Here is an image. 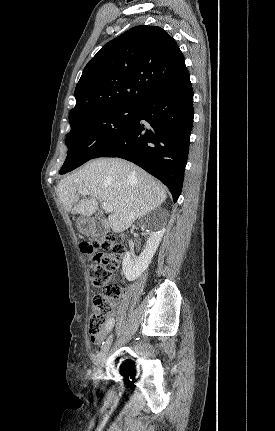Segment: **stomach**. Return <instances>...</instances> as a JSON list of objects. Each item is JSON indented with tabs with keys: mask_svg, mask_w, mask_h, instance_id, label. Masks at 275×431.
<instances>
[{
	"mask_svg": "<svg viewBox=\"0 0 275 431\" xmlns=\"http://www.w3.org/2000/svg\"><path fill=\"white\" fill-rule=\"evenodd\" d=\"M77 227L82 234L88 235V234H91L93 232L92 225L85 218H78L77 219Z\"/></svg>",
	"mask_w": 275,
	"mask_h": 431,
	"instance_id": "1",
	"label": "stomach"
}]
</instances>
